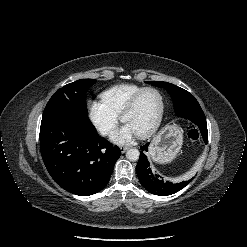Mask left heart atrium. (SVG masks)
<instances>
[{"label": "left heart atrium", "mask_w": 247, "mask_h": 247, "mask_svg": "<svg viewBox=\"0 0 247 247\" xmlns=\"http://www.w3.org/2000/svg\"><path fill=\"white\" fill-rule=\"evenodd\" d=\"M136 135V132L128 124H125L112 134L111 139L115 143L125 144L130 142Z\"/></svg>", "instance_id": "obj_1"}]
</instances>
